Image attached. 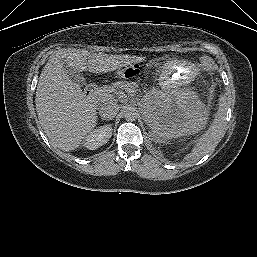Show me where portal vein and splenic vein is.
Masks as SVG:
<instances>
[{
	"instance_id": "obj_1",
	"label": "portal vein and splenic vein",
	"mask_w": 257,
	"mask_h": 257,
	"mask_svg": "<svg viewBox=\"0 0 257 257\" xmlns=\"http://www.w3.org/2000/svg\"><path fill=\"white\" fill-rule=\"evenodd\" d=\"M127 93L130 94V95H133L134 91L131 90V89H126ZM110 98V97H109Z\"/></svg>"
}]
</instances>
